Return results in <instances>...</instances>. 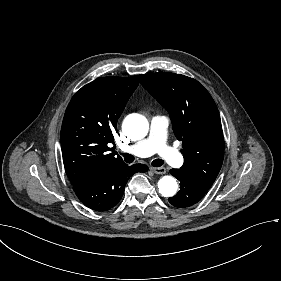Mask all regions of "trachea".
<instances>
[{
	"label": "trachea",
	"instance_id": "obj_1",
	"mask_svg": "<svg viewBox=\"0 0 281 281\" xmlns=\"http://www.w3.org/2000/svg\"><path fill=\"white\" fill-rule=\"evenodd\" d=\"M123 157H124L125 162H127V163H132L135 159V157L132 154H128V153H124ZM163 164H164V160H161V159H155L151 163V165L154 167H160Z\"/></svg>",
	"mask_w": 281,
	"mask_h": 281
}]
</instances>
